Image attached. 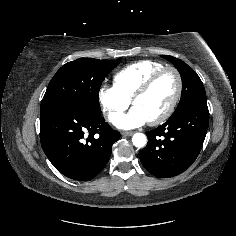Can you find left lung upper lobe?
<instances>
[{"mask_svg":"<svg viewBox=\"0 0 236 236\" xmlns=\"http://www.w3.org/2000/svg\"><path fill=\"white\" fill-rule=\"evenodd\" d=\"M162 57L175 65L182 78L181 99L172 116L180 113L190 105L206 102L204 86L197 73L178 58L168 55H163Z\"/></svg>","mask_w":236,"mask_h":236,"instance_id":"obj_1","label":"left lung upper lobe"}]
</instances>
